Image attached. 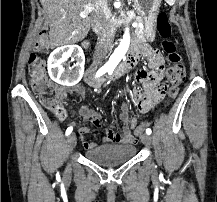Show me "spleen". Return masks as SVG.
I'll use <instances>...</instances> for the list:
<instances>
[{
  "mask_svg": "<svg viewBox=\"0 0 217 202\" xmlns=\"http://www.w3.org/2000/svg\"><path fill=\"white\" fill-rule=\"evenodd\" d=\"M168 5H175L176 1L175 0H166Z\"/></svg>",
  "mask_w": 217,
  "mask_h": 202,
  "instance_id": "3e777b00",
  "label": "spleen"
}]
</instances>
